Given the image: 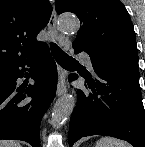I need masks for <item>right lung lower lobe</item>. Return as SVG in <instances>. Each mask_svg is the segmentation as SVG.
I'll use <instances>...</instances> for the list:
<instances>
[{
	"label": "right lung lower lobe",
	"instance_id": "right-lung-lower-lobe-1",
	"mask_svg": "<svg viewBox=\"0 0 145 147\" xmlns=\"http://www.w3.org/2000/svg\"><path fill=\"white\" fill-rule=\"evenodd\" d=\"M25 66H30L26 69ZM28 70L34 85L21 89L16 80ZM57 87V68L47 46L33 56L0 69V139L24 140L39 147L40 121ZM31 97V101L25 99Z\"/></svg>",
	"mask_w": 145,
	"mask_h": 147
}]
</instances>
